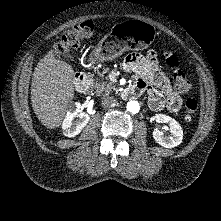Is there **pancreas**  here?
I'll use <instances>...</instances> for the list:
<instances>
[{"instance_id": "1", "label": "pancreas", "mask_w": 221, "mask_h": 221, "mask_svg": "<svg viewBox=\"0 0 221 221\" xmlns=\"http://www.w3.org/2000/svg\"><path fill=\"white\" fill-rule=\"evenodd\" d=\"M108 69H104L103 72L100 74V77H103L106 73H108ZM88 77H93L92 74L88 75ZM99 80V79H97ZM94 87L97 91L98 94H103V93H110L112 90L118 91V87H115L114 82H106V81H99L94 83Z\"/></svg>"}]
</instances>
